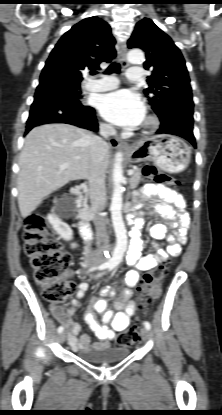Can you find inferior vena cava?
<instances>
[{
    "instance_id": "obj_1",
    "label": "inferior vena cava",
    "mask_w": 222,
    "mask_h": 415,
    "mask_svg": "<svg viewBox=\"0 0 222 415\" xmlns=\"http://www.w3.org/2000/svg\"><path fill=\"white\" fill-rule=\"evenodd\" d=\"M100 136L91 138V167L89 174V196L91 202V213L96 228V238L100 244L95 252V257L100 258L108 248L109 236L107 233V221L102 215L106 206L105 170L104 158L108 151L106 139L115 135L116 130L112 125L101 124L99 126Z\"/></svg>"
}]
</instances>
